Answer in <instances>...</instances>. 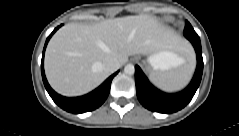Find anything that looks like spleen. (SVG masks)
<instances>
[{
  "instance_id": "1",
  "label": "spleen",
  "mask_w": 239,
  "mask_h": 136,
  "mask_svg": "<svg viewBox=\"0 0 239 136\" xmlns=\"http://www.w3.org/2000/svg\"><path fill=\"white\" fill-rule=\"evenodd\" d=\"M191 75L190 68H177L167 72L153 71L150 73V79L163 90L174 91L183 88L189 82Z\"/></svg>"
}]
</instances>
